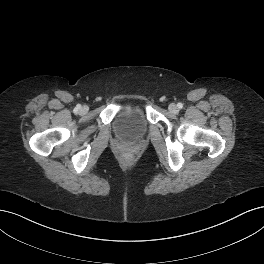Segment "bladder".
Listing matches in <instances>:
<instances>
[{
	"label": "bladder",
	"mask_w": 264,
	"mask_h": 264,
	"mask_svg": "<svg viewBox=\"0 0 264 264\" xmlns=\"http://www.w3.org/2000/svg\"><path fill=\"white\" fill-rule=\"evenodd\" d=\"M149 123L145 112L140 107H126L118 112L114 121L117 136L126 142H135L143 138Z\"/></svg>",
	"instance_id": "obj_1"
}]
</instances>
